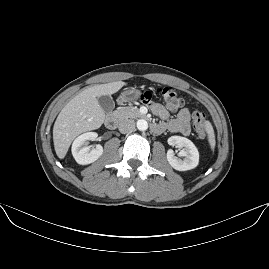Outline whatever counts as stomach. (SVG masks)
Returning <instances> with one entry per match:
<instances>
[{"label":"stomach","instance_id":"1","mask_svg":"<svg viewBox=\"0 0 269 269\" xmlns=\"http://www.w3.org/2000/svg\"><path fill=\"white\" fill-rule=\"evenodd\" d=\"M140 95V91L137 89H128L125 90L124 92L121 93V95L118 98V101L120 102V104L125 103V102H129V101H134L136 99H138Z\"/></svg>","mask_w":269,"mask_h":269}]
</instances>
